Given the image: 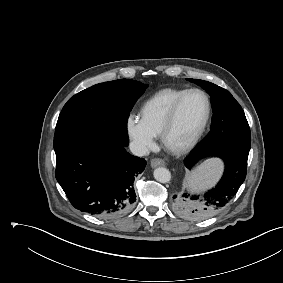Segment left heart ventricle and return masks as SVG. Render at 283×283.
<instances>
[{
	"label": "left heart ventricle",
	"instance_id": "left-heart-ventricle-1",
	"mask_svg": "<svg viewBox=\"0 0 283 283\" xmlns=\"http://www.w3.org/2000/svg\"><path fill=\"white\" fill-rule=\"evenodd\" d=\"M206 114V102L198 93L188 95L182 102L175 123L169 132L168 143L180 146L188 142L200 128Z\"/></svg>",
	"mask_w": 283,
	"mask_h": 283
}]
</instances>
